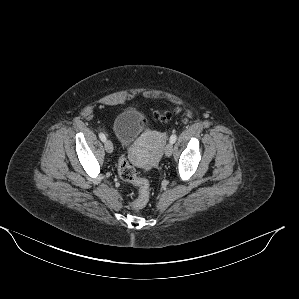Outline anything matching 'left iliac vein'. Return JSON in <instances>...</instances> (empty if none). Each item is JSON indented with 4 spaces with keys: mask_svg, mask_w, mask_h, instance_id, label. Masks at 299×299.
I'll return each instance as SVG.
<instances>
[{
    "mask_svg": "<svg viewBox=\"0 0 299 299\" xmlns=\"http://www.w3.org/2000/svg\"><path fill=\"white\" fill-rule=\"evenodd\" d=\"M173 152V143H168L165 147V156L166 157H170L172 155Z\"/></svg>",
    "mask_w": 299,
    "mask_h": 299,
    "instance_id": "left-iliac-vein-1",
    "label": "left iliac vein"
}]
</instances>
